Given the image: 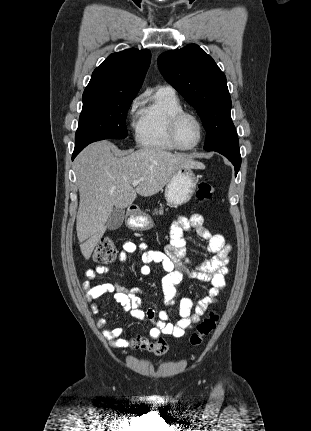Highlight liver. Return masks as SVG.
<instances>
[{"label":"liver","instance_id":"liver-1","mask_svg":"<svg viewBox=\"0 0 311 431\" xmlns=\"http://www.w3.org/2000/svg\"><path fill=\"white\" fill-rule=\"evenodd\" d=\"M74 162L80 194L76 231L85 259L91 257L101 241L113 208H129L137 194L144 198L158 194L182 168H205L186 154H171L158 148L121 152L107 140L90 144ZM134 180L142 182L132 188Z\"/></svg>","mask_w":311,"mask_h":431}]
</instances>
